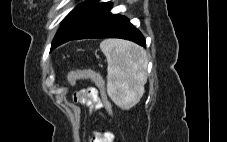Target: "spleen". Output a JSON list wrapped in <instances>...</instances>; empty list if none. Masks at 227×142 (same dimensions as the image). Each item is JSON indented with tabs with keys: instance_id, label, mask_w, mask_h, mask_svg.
Masks as SVG:
<instances>
[{
	"instance_id": "obj_1",
	"label": "spleen",
	"mask_w": 227,
	"mask_h": 142,
	"mask_svg": "<svg viewBox=\"0 0 227 142\" xmlns=\"http://www.w3.org/2000/svg\"><path fill=\"white\" fill-rule=\"evenodd\" d=\"M100 48L107 58V93L123 109L139 102L147 82V54L129 41L104 40Z\"/></svg>"
}]
</instances>
